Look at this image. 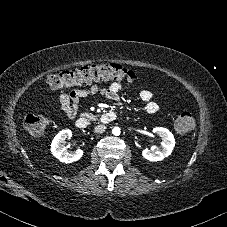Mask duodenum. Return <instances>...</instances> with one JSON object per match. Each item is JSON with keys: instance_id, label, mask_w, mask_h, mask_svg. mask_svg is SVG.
Returning a JSON list of instances; mask_svg holds the SVG:
<instances>
[{"instance_id": "duodenum-1", "label": "duodenum", "mask_w": 227, "mask_h": 227, "mask_svg": "<svg viewBox=\"0 0 227 227\" xmlns=\"http://www.w3.org/2000/svg\"><path fill=\"white\" fill-rule=\"evenodd\" d=\"M115 118H116L115 112L109 111V112L104 113L101 116L100 121H101V123L107 124V123L114 121ZM75 126L78 129H85L88 126V121L85 118H79L76 120Z\"/></svg>"}]
</instances>
